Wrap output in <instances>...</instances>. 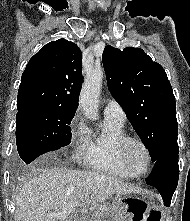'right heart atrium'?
<instances>
[{
  "label": "right heart atrium",
  "instance_id": "1",
  "mask_svg": "<svg viewBox=\"0 0 190 221\" xmlns=\"http://www.w3.org/2000/svg\"><path fill=\"white\" fill-rule=\"evenodd\" d=\"M70 140L73 158L77 162L85 161L90 151V132L80 115H76L71 122Z\"/></svg>",
  "mask_w": 190,
  "mask_h": 221
}]
</instances>
